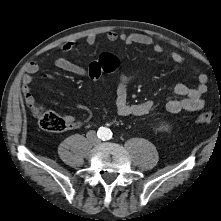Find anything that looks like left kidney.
<instances>
[{"mask_svg":"<svg viewBox=\"0 0 221 221\" xmlns=\"http://www.w3.org/2000/svg\"><path fill=\"white\" fill-rule=\"evenodd\" d=\"M159 129H160V130H168L167 126H163V125L160 126Z\"/></svg>","mask_w":221,"mask_h":221,"instance_id":"1","label":"left kidney"}]
</instances>
